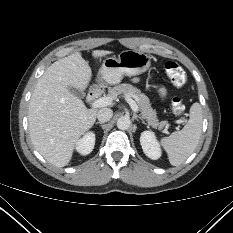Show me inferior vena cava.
<instances>
[{"mask_svg": "<svg viewBox=\"0 0 233 233\" xmlns=\"http://www.w3.org/2000/svg\"><path fill=\"white\" fill-rule=\"evenodd\" d=\"M113 116V111L110 108H102L97 112V119L100 122H107Z\"/></svg>", "mask_w": 233, "mask_h": 233, "instance_id": "inferior-vena-cava-1", "label": "inferior vena cava"}]
</instances>
